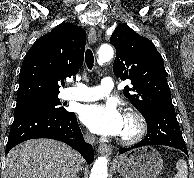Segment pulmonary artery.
<instances>
[{
  "label": "pulmonary artery",
  "mask_w": 194,
  "mask_h": 178,
  "mask_svg": "<svg viewBox=\"0 0 194 178\" xmlns=\"http://www.w3.org/2000/svg\"><path fill=\"white\" fill-rule=\"evenodd\" d=\"M113 87V79L111 77H104L99 86L89 87L79 84L75 88L67 89L64 93V98L83 102L94 101L107 96Z\"/></svg>",
  "instance_id": "obj_1"
}]
</instances>
